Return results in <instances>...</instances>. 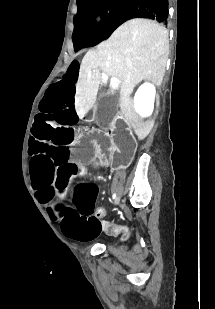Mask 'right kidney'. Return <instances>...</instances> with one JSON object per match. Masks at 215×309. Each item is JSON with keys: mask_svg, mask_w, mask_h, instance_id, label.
<instances>
[{"mask_svg": "<svg viewBox=\"0 0 215 309\" xmlns=\"http://www.w3.org/2000/svg\"><path fill=\"white\" fill-rule=\"evenodd\" d=\"M155 94V86L150 84V82H145V84H141L140 88H138L134 96V102L135 108L141 116H150L152 114Z\"/></svg>", "mask_w": 215, "mask_h": 309, "instance_id": "1", "label": "right kidney"}]
</instances>
